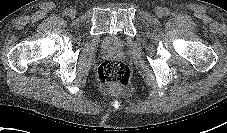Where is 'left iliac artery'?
Wrapping results in <instances>:
<instances>
[{
  "label": "left iliac artery",
  "mask_w": 227,
  "mask_h": 133,
  "mask_svg": "<svg viewBox=\"0 0 227 133\" xmlns=\"http://www.w3.org/2000/svg\"><path fill=\"white\" fill-rule=\"evenodd\" d=\"M165 15H169L170 11L168 9H165Z\"/></svg>",
  "instance_id": "left-iliac-artery-1"
}]
</instances>
